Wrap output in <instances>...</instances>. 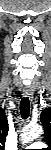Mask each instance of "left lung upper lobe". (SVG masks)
Listing matches in <instances>:
<instances>
[{"label":"left lung upper lobe","instance_id":"left-lung-upper-lobe-1","mask_svg":"<svg viewBox=\"0 0 51 150\" xmlns=\"http://www.w3.org/2000/svg\"><path fill=\"white\" fill-rule=\"evenodd\" d=\"M40 120L44 125V140L48 145H51V107L43 110Z\"/></svg>","mask_w":51,"mask_h":150}]
</instances>
